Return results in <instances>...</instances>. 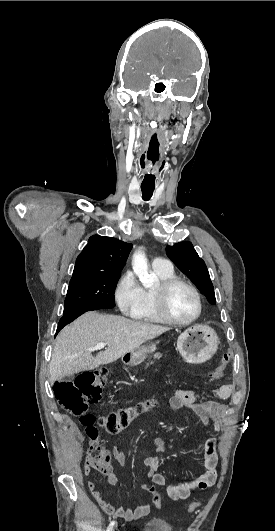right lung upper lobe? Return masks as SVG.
I'll return each instance as SVG.
<instances>
[{
    "label": "right lung upper lobe",
    "instance_id": "cb5924a9",
    "mask_svg": "<svg viewBox=\"0 0 275 531\" xmlns=\"http://www.w3.org/2000/svg\"><path fill=\"white\" fill-rule=\"evenodd\" d=\"M132 244L116 238L93 235L76 260L72 276L121 274Z\"/></svg>",
    "mask_w": 275,
    "mask_h": 531
}]
</instances>
